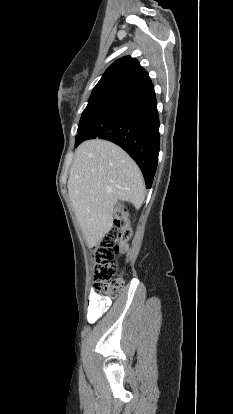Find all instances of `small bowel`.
<instances>
[{"label": "small bowel", "instance_id": "1", "mask_svg": "<svg viewBox=\"0 0 233 414\" xmlns=\"http://www.w3.org/2000/svg\"><path fill=\"white\" fill-rule=\"evenodd\" d=\"M88 292L91 294L87 305V320L89 323H94L109 309L111 300L105 296L92 293V288H89Z\"/></svg>", "mask_w": 233, "mask_h": 414}]
</instances>
